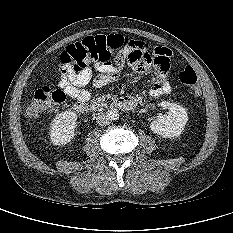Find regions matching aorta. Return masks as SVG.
<instances>
[{"label":"aorta","instance_id":"762f6f07","mask_svg":"<svg viewBox=\"0 0 233 233\" xmlns=\"http://www.w3.org/2000/svg\"><path fill=\"white\" fill-rule=\"evenodd\" d=\"M106 115L108 119L110 120V122H112V121H116L119 119L120 113L117 109L114 108V109L108 110Z\"/></svg>","mask_w":233,"mask_h":233}]
</instances>
